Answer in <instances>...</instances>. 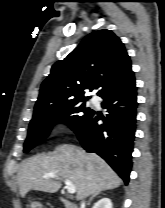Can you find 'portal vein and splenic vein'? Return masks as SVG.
<instances>
[{"label":"portal vein and splenic vein","mask_w":165,"mask_h":208,"mask_svg":"<svg viewBox=\"0 0 165 208\" xmlns=\"http://www.w3.org/2000/svg\"><path fill=\"white\" fill-rule=\"evenodd\" d=\"M55 176L56 175L54 173H46L43 177L44 178H53ZM64 182H65L66 189H67L68 193L74 194L76 192V188L73 185V183L70 180H68V179H65Z\"/></svg>","instance_id":"portal-vein-and-splenic-vein-1"}]
</instances>
